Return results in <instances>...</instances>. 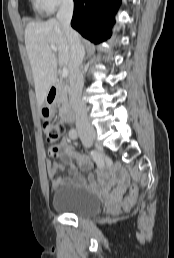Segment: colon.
Masks as SVG:
<instances>
[{"label":"colon","instance_id":"1","mask_svg":"<svg viewBox=\"0 0 174 258\" xmlns=\"http://www.w3.org/2000/svg\"><path fill=\"white\" fill-rule=\"evenodd\" d=\"M65 132V126L62 122L56 120H48L43 124V133L45 135V140L48 145L52 147L51 155L53 157L58 156V151L56 147ZM137 197V186L134 184L130 188L129 195L123 201L122 207L124 210H128Z\"/></svg>","mask_w":174,"mask_h":258}]
</instances>
